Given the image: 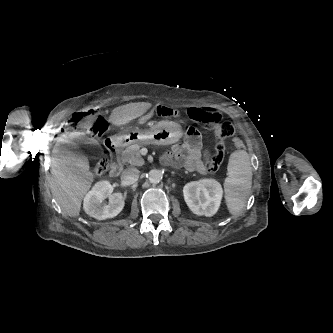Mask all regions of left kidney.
<instances>
[{
  "label": "left kidney",
  "mask_w": 333,
  "mask_h": 333,
  "mask_svg": "<svg viewBox=\"0 0 333 333\" xmlns=\"http://www.w3.org/2000/svg\"><path fill=\"white\" fill-rule=\"evenodd\" d=\"M183 193L185 202L193 213L212 216L220 206L223 190L218 181L202 179L186 184Z\"/></svg>",
  "instance_id": "1"
}]
</instances>
